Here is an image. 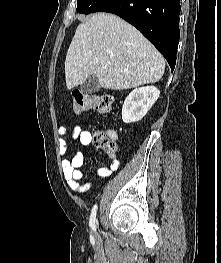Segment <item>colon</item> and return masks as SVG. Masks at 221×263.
Instances as JSON below:
<instances>
[{"label":"colon","mask_w":221,"mask_h":263,"mask_svg":"<svg viewBox=\"0 0 221 263\" xmlns=\"http://www.w3.org/2000/svg\"><path fill=\"white\" fill-rule=\"evenodd\" d=\"M73 101V111L76 114L87 112L90 110H96L99 112H107L110 110L111 104L113 102V97L108 94L99 96H90L87 94H74L72 96ZM97 143L104 146L106 151L111 154L114 151V146L109 136L102 132H96L94 136Z\"/></svg>","instance_id":"colon-1"}]
</instances>
